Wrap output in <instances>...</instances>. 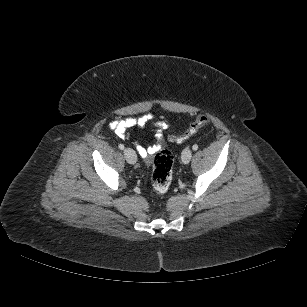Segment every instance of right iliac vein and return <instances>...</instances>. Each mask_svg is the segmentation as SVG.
Masks as SVG:
<instances>
[{"mask_svg":"<svg viewBox=\"0 0 307 307\" xmlns=\"http://www.w3.org/2000/svg\"><path fill=\"white\" fill-rule=\"evenodd\" d=\"M124 156H125L126 161L130 164H135L137 161V156H136L135 151L130 148H126L124 150Z\"/></svg>","mask_w":307,"mask_h":307,"instance_id":"1","label":"right iliac vein"}]
</instances>
